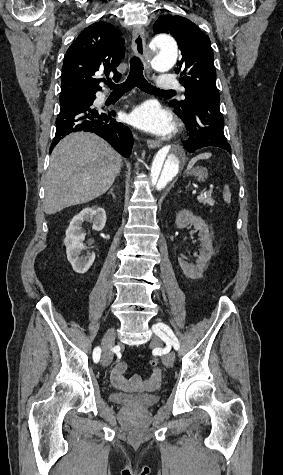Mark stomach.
Returning a JSON list of instances; mask_svg holds the SVG:
<instances>
[{
	"label": "stomach",
	"mask_w": 283,
	"mask_h": 475,
	"mask_svg": "<svg viewBox=\"0 0 283 475\" xmlns=\"http://www.w3.org/2000/svg\"><path fill=\"white\" fill-rule=\"evenodd\" d=\"M188 174H194V176H197L198 180H205V178H208L205 168H196V170H191Z\"/></svg>",
	"instance_id": "stomach-1"
}]
</instances>
